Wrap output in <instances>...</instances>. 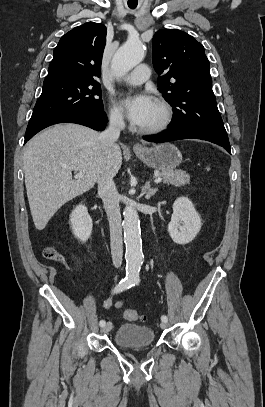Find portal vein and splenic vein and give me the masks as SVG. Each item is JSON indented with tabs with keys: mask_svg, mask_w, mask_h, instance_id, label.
<instances>
[{
	"mask_svg": "<svg viewBox=\"0 0 265 407\" xmlns=\"http://www.w3.org/2000/svg\"><path fill=\"white\" fill-rule=\"evenodd\" d=\"M84 173L82 171H79L77 174V177L82 176ZM162 181V178L158 177L155 179V183H160Z\"/></svg>",
	"mask_w": 265,
	"mask_h": 407,
	"instance_id": "portal-vein-and-splenic-vein-1",
	"label": "portal vein and splenic vein"
}]
</instances>
